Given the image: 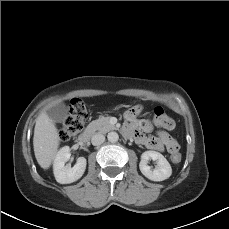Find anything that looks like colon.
Masks as SVG:
<instances>
[{"mask_svg":"<svg viewBox=\"0 0 229 229\" xmlns=\"http://www.w3.org/2000/svg\"><path fill=\"white\" fill-rule=\"evenodd\" d=\"M87 110L84 102L79 98H74L69 105V113L64 123L60 126V138L63 141H70L85 129ZM167 127H174V122L169 117L162 118ZM167 150L171 153V159L174 163L181 161V155L178 153L179 146L175 142L167 144Z\"/></svg>","mask_w":229,"mask_h":229,"instance_id":"obj_1","label":"colon"}]
</instances>
